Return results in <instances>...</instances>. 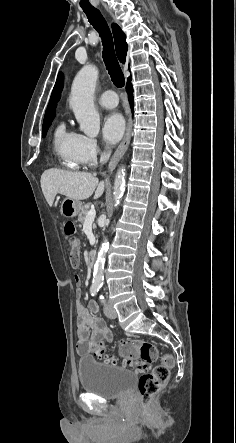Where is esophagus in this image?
<instances>
[{"label": "esophagus", "instance_id": "esophagus-1", "mask_svg": "<svg viewBox=\"0 0 236 443\" xmlns=\"http://www.w3.org/2000/svg\"><path fill=\"white\" fill-rule=\"evenodd\" d=\"M131 134H132V121H131V118H129L128 123H127V129H126L125 136H124L123 140L121 141V143L119 144V146L117 147V149L115 150V152H114L113 156L111 157L110 162L108 164V171L109 172H112L115 169L118 162L125 154L128 146H129L130 140H131Z\"/></svg>", "mask_w": 236, "mask_h": 443}]
</instances>
